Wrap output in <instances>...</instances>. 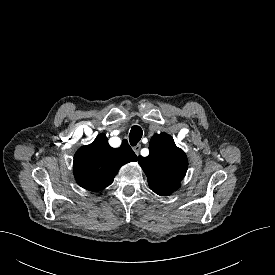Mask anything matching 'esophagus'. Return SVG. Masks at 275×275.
<instances>
[{
  "label": "esophagus",
  "instance_id": "1",
  "mask_svg": "<svg viewBox=\"0 0 275 275\" xmlns=\"http://www.w3.org/2000/svg\"><path fill=\"white\" fill-rule=\"evenodd\" d=\"M140 149H141V145H140V144H138V145H136L135 147H133V150H134V152H135V154H136L137 156L139 155Z\"/></svg>",
  "mask_w": 275,
  "mask_h": 275
}]
</instances>
